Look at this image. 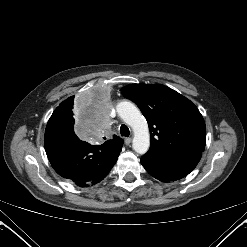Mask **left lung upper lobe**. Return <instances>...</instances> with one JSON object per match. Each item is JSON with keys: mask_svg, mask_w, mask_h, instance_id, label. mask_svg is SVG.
<instances>
[{"mask_svg": "<svg viewBox=\"0 0 247 247\" xmlns=\"http://www.w3.org/2000/svg\"><path fill=\"white\" fill-rule=\"evenodd\" d=\"M147 119L149 150L164 153L202 152L206 127L198 108L175 90L160 84H131L121 89Z\"/></svg>", "mask_w": 247, "mask_h": 247, "instance_id": "5c2ea615", "label": "left lung upper lobe"}]
</instances>
